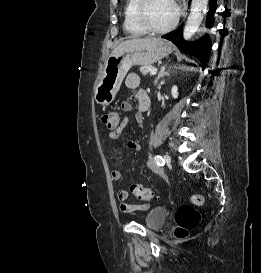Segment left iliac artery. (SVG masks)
I'll return each mask as SVG.
<instances>
[{
	"label": "left iliac artery",
	"instance_id": "left-iliac-artery-1",
	"mask_svg": "<svg viewBox=\"0 0 261 273\" xmlns=\"http://www.w3.org/2000/svg\"><path fill=\"white\" fill-rule=\"evenodd\" d=\"M154 160L158 166H163L165 164V160L160 155H156Z\"/></svg>",
	"mask_w": 261,
	"mask_h": 273
}]
</instances>
